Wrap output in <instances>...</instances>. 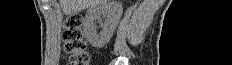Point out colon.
<instances>
[{
  "instance_id": "5ec220e1",
  "label": "colon",
  "mask_w": 232,
  "mask_h": 65,
  "mask_svg": "<svg viewBox=\"0 0 232 65\" xmlns=\"http://www.w3.org/2000/svg\"><path fill=\"white\" fill-rule=\"evenodd\" d=\"M64 49L69 55V65H89L90 55L83 31V18L79 14L69 15L63 24Z\"/></svg>"
}]
</instances>
